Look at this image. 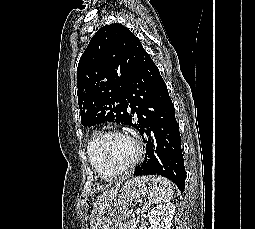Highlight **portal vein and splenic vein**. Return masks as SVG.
<instances>
[{
  "instance_id": "1",
  "label": "portal vein and splenic vein",
  "mask_w": 255,
  "mask_h": 229,
  "mask_svg": "<svg viewBox=\"0 0 255 229\" xmlns=\"http://www.w3.org/2000/svg\"><path fill=\"white\" fill-rule=\"evenodd\" d=\"M136 213L139 214V213H140V210L138 209V210L136 211Z\"/></svg>"
}]
</instances>
